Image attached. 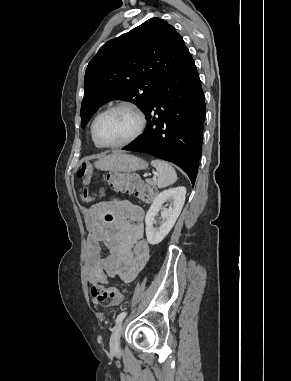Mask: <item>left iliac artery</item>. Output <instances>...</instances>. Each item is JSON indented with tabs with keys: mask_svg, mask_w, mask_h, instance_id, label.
Masks as SVG:
<instances>
[{
	"mask_svg": "<svg viewBox=\"0 0 291 381\" xmlns=\"http://www.w3.org/2000/svg\"><path fill=\"white\" fill-rule=\"evenodd\" d=\"M126 316V312L124 311V312H121L118 316H117V318H116V323H120L123 319H124V317Z\"/></svg>",
	"mask_w": 291,
	"mask_h": 381,
	"instance_id": "obj_1",
	"label": "left iliac artery"
}]
</instances>
